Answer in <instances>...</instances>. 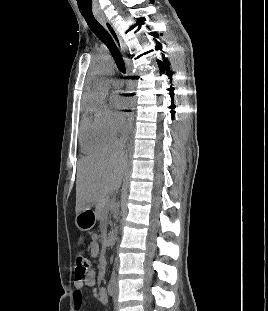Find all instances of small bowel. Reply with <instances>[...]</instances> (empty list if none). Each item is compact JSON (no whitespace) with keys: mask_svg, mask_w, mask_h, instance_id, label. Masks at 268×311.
I'll list each match as a JSON object with an SVG mask.
<instances>
[{"mask_svg":"<svg viewBox=\"0 0 268 311\" xmlns=\"http://www.w3.org/2000/svg\"><path fill=\"white\" fill-rule=\"evenodd\" d=\"M89 252L92 257L96 258L98 257L100 253V247L98 243V235L93 234L91 236V241L89 243ZM96 271L94 269H90L87 275L82 280H76L75 281V290L73 293V300L75 304V308L77 311L81 310L82 302H83V296L82 291L85 287H93L96 285ZM97 299L100 302L101 305L107 304V293L104 287L99 288L97 292Z\"/></svg>","mask_w":268,"mask_h":311,"instance_id":"c3829d8e","label":"small bowel"}]
</instances>
